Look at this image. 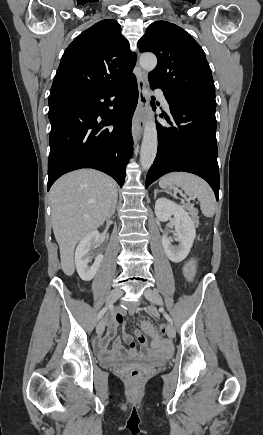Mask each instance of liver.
<instances>
[{
  "instance_id": "obj_1",
  "label": "liver",
  "mask_w": 263,
  "mask_h": 435,
  "mask_svg": "<svg viewBox=\"0 0 263 435\" xmlns=\"http://www.w3.org/2000/svg\"><path fill=\"white\" fill-rule=\"evenodd\" d=\"M50 197L62 270L71 276L75 271V246L109 217L117 200V184L102 172L81 169L58 179L51 187Z\"/></svg>"
}]
</instances>
